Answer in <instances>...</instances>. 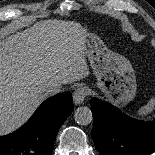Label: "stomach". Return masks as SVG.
Here are the masks:
<instances>
[{
    "label": "stomach",
    "mask_w": 155,
    "mask_h": 155,
    "mask_svg": "<svg viewBox=\"0 0 155 155\" xmlns=\"http://www.w3.org/2000/svg\"><path fill=\"white\" fill-rule=\"evenodd\" d=\"M82 47L96 77L97 87L113 104L126 106L135 97L137 90L130 61L111 51L101 38L93 33L86 32Z\"/></svg>",
    "instance_id": "1"
}]
</instances>
